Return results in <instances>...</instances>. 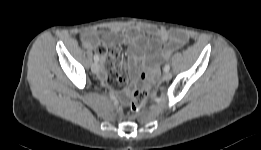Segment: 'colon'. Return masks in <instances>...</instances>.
<instances>
[{
	"label": "colon",
	"mask_w": 261,
	"mask_h": 150,
	"mask_svg": "<svg viewBox=\"0 0 261 150\" xmlns=\"http://www.w3.org/2000/svg\"><path fill=\"white\" fill-rule=\"evenodd\" d=\"M148 96V81L144 75L142 84L133 92L130 103L131 110L134 112H139L140 110H142L147 102Z\"/></svg>",
	"instance_id": "colon-1"
}]
</instances>
